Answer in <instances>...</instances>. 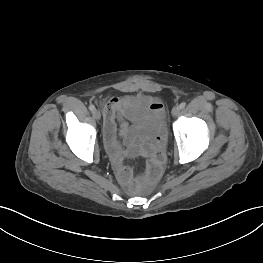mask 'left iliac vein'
Wrapping results in <instances>:
<instances>
[{
	"mask_svg": "<svg viewBox=\"0 0 263 263\" xmlns=\"http://www.w3.org/2000/svg\"><path fill=\"white\" fill-rule=\"evenodd\" d=\"M180 107L179 106H175V107H173V109H172V115L175 117V116H178L179 115V113H180Z\"/></svg>",
	"mask_w": 263,
	"mask_h": 263,
	"instance_id": "obj_1",
	"label": "left iliac vein"
}]
</instances>
